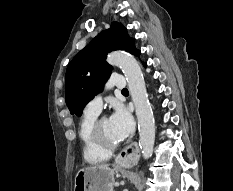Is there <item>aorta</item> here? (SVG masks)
Instances as JSON below:
<instances>
[{
	"instance_id": "aorta-1",
	"label": "aorta",
	"mask_w": 233,
	"mask_h": 191,
	"mask_svg": "<svg viewBox=\"0 0 233 191\" xmlns=\"http://www.w3.org/2000/svg\"><path fill=\"white\" fill-rule=\"evenodd\" d=\"M107 62L120 67L126 77L138 120L139 146L144 159H149L155 142V122L140 65L132 55L119 51L110 53Z\"/></svg>"
}]
</instances>
